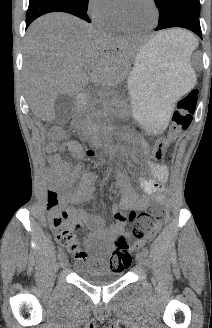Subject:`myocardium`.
<instances>
[{
	"mask_svg": "<svg viewBox=\"0 0 212 328\" xmlns=\"http://www.w3.org/2000/svg\"><path fill=\"white\" fill-rule=\"evenodd\" d=\"M149 3L151 4V6L153 7L154 9V13H155V18H154V21L151 25L149 26H146V27H133L131 25H129L126 21V19L124 18L122 12H121V9H120V5H118L117 7V18H118V21L120 22L121 26L127 31V32H134V33H144V32H147L151 29H153L158 21H159V16H160V11H159V8H158V5L156 3V0H148Z\"/></svg>",
	"mask_w": 212,
	"mask_h": 328,
	"instance_id": "1",
	"label": "myocardium"
}]
</instances>
